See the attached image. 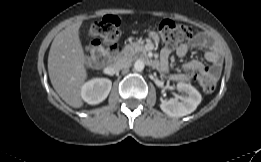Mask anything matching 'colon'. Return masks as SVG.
<instances>
[{
    "label": "colon",
    "mask_w": 261,
    "mask_h": 162,
    "mask_svg": "<svg viewBox=\"0 0 261 162\" xmlns=\"http://www.w3.org/2000/svg\"><path fill=\"white\" fill-rule=\"evenodd\" d=\"M119 26L120 19L115 15L104 16L90 26L92 38L88 48L90 61L96 64H101L104 61L105 49L102 43L112 46L118 38ZM156 30L163 42L170 47L186 41L191 35V30L188 26L170 19L158 22ZM196 79L205 92L211 93L215 90L216 78L212 74L202 72L197 74Z\"/></svg>",
    "instance_id": "obj_1"
}]
</instances>
